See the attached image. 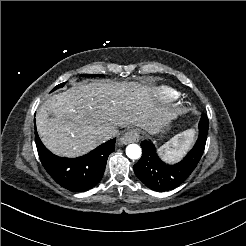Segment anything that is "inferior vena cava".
<instances>
[{"instance_id":"inferior-vena-cava-1","label":"inferior vena cava","mask_w":246,"mask_h":246,"mask_svg":"<svg viewBox=\"0 0 246 246\" xmlns=\"http://www.w3.org/2000/svg\"><path fill=\"white\" fill-rule=\"evenodd\" d=\"M118 134V130L117 129H112L110 130L109 134H108V138H112L115 137Z\"/></svg>"}]
</instances>
